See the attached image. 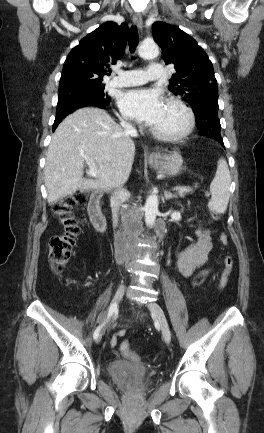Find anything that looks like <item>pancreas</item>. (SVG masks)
Returning <instances> with one entry per match:
<instances>
[{
    "label": "pancreas",
    "mask_w": 264,
    "mask_h": 433,
    "mask_svg": "<svg viewBox=\"0 0 264 433\" xmlns=\"http://www.w3.org/2000/svg\"><path fill=\"white\" fill-rule=\"evenodd\" d=\"M185 194H186V193H183V194H179V195H180L181 197H184V196H185Z\"/></svg>",
    "instance_id": "cf45deb5"
}]
</instances>
